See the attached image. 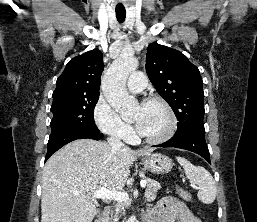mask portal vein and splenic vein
I'll use <instances>...</instances> for the list:
<instances>
[{
  "label": "portal vein and splenic vein",
  "instance_id": "1",
  "mask_svg": "<svg viewBox=\"0 0 257 222\" xmlns=\"http://www.w3.org/2000/svg\"><path fill=\"white\" fill-rule=\"evenodd\" d=\"M147 182L145 180L141 181V186L145 187ZM92 198H101V199H107V200H115L118 202H126L129 197L128 194L125 192H120V191H111L107 190L104 187L93 191L91 193Z\"/></svg>",
  "mask_w": 257,
  "mask_h": 222
}]
</instances>
